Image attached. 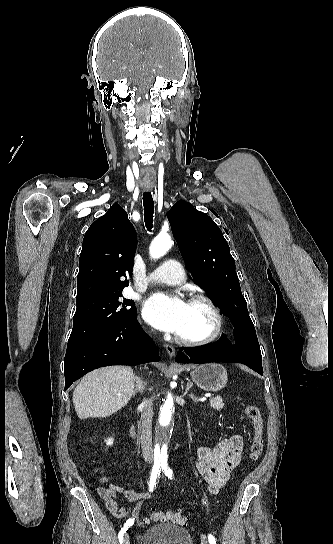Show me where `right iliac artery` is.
Returning a JSON list of instances; mask_svg holds the SVG:
<instances>
[{"label": "right iliac artery", "instance_id": "right-iliac-artery-1", "mask_svg": "<svg viewBox=\"0 0 333 544\" xmlns=\"http://www.w3.org/2000/svg\"><path fill=\"white\" fill-rule=\"evenodd\" d=\"M160 471H161L160 463L159 464H154V466L152 468V471H151L150 480H149V491L150 492H153L154 488L156 487V480H157V477L160 475ZM133 523H134V520L128 519L126 521V523L124 524L123 528H121V530H120V532L118 534V539H119L120 544L123 543L124 533L126 532V530L130 526L133 525Z\"/></svg>", "mask_w": 333, "mask_h": 544}]
</instances>
